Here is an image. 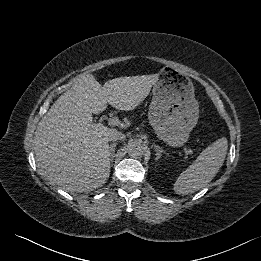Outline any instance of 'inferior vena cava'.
I'll list each match as a JSON object with an SVG mask.
<instances>
[{"label": "inferior vena cava", "instance_id": "1", "mask_svg": "<svg viewBox=\"0 0 261 261\" xmlns=\"http://www.w3.org/2000/svg\"><path fill=\"white\" fill-rule=\"evenodd\" d=\"M109 139L111 141L124 140L125 139V135L122 132H119L117 130H113L109 134Z\"/></svg>", "mask_w": 261, "mask_h": 261}]
</instances>
